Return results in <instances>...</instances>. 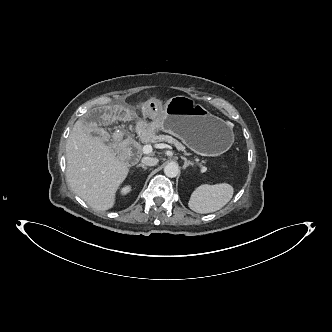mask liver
Listing matches in <instances>:
<instances>
[{"label":"liver","mask_w":332,"mask_h":332,"mask_svg":"<svg viewBox=\"0 0 332 332\" xmlns=\"http://www.w3.org/2000/svg\"><path fill=\"white\" fill-rule=\"evenodd\" d=\"M66 162L67 182L76 195L98 211L114 206L129 165L110 146L89 135L80 120L68 137Z\"/></svg>","instance_id":"6515ba94"}]
</instances>
